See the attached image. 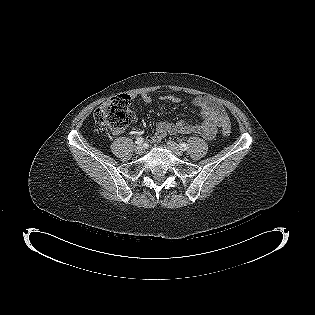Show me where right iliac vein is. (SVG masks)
Instances as JSON below:
<instances>
[{"label":"right iliac vein","instance_id":"1","mask_svg":"<svg viewBox=\"0 0 315 315\" xmlns=\"http://www.w3.org/2000/svg\"><path fill=\"white\" fill-rule=\"evenodd\" d=\"M144 147L142 145H138L135 147V152L139 155L143 154L144 153Z\"/></svg>","mask_w":315,"mask_h":315}]
</instances>
